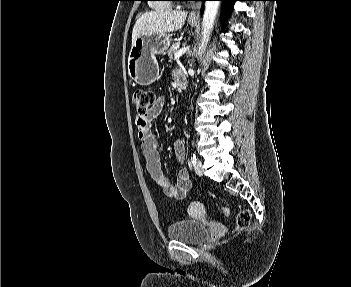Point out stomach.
<instances>
[{"label": "stomach", "mask_w": 351, "mask_h": 287, "mask_svg": "<svg viewBox=\"0 0 351 287\" xmlns=\"http://www.w3.org/2000/svg\"><path fill=\"white\" fill-rule=\"evenodd\" d=\"M191 26L196 21H188ZM171 43L170 35L152 33L140 35L131 47L128 57V73L133 81L147 86L152 84L159 75L156 55L164 54Z\"/></svg>", "instance_id": "stomach-1"}]
</instances>
